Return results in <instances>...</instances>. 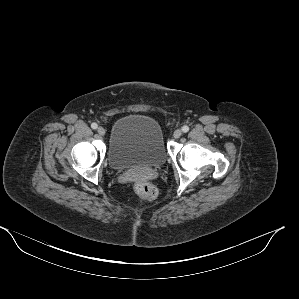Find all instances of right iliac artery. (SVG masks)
Masks as SVG:
<instances>
[{
	"label": "right iliac artery",
	"mask_w": 299,
	"mask_h": 299,
	"mask_svg": "<svg viewBox=\"0 0 299 299\" xmlns=\"http://www.w3.org/2000/svg\"><path fill=\"white\" fill-rule=\"evenodd\" d=\"M92 129H97L98 125L96 123L91 124Z\"/></svg>",
	"instance_id": "obj_1"
}]
</instances>
